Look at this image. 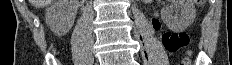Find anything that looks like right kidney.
Listing matches in <instances>:
<instances>
[{"label": "right kidney", "instance_id": "ca27d5eb", "mask_svg": "<svg viewBox=\"0 0 232 65\" xmlns=\"http://www.w3.org/2000/svg\"><path fill=\"white\" fill-rule=\"evenodd\" d=\"M77 9L78 0H55L45 13L47 26L58 36L67 34L74 24Z\"/></svg>", "mask_w": 232, "mask_h": 65}]
</instances>
